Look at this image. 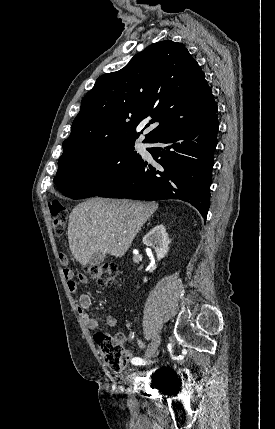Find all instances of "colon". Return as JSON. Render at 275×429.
Here are the masks:
<instances>
[{
	"mask_svg": "<svg viewBox=\"0 0 275 429\" xmlns=\"http://www.w3.org/2000/svg\"><path fill=\"white\" fill-rule=\"evenodd\" d=\"M51 223L54 233L61 236L67 225L68 212L66 207L58 200H52L48 204ZM60 262L65 265L67 258L60 255ZM86 275L103 285L115 283L119 274L118 266L114 263H102L87 267ZM85 276V275H82ZM94 340L99 347L100 354L106 366L113 372H120L128 364L131 355L124 348V341L120 336H111L104 333H96Z\"/></svg>",
	"mask_w": 275,
	"mask_h": 429,
	"instance_id": "colon-1",
	"label": "colon"
}]
</instances>
